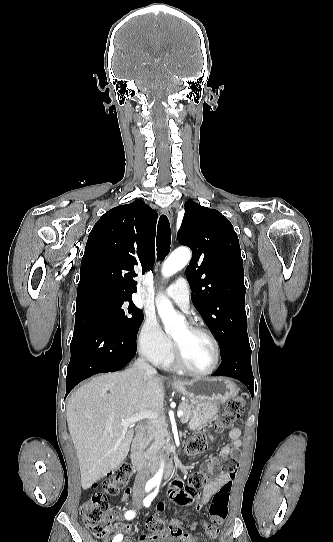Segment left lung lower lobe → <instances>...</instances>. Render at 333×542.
<instances>
[{
	"label": "left lung lower lobe",
	"mask_w": 333,
	"mask_h": 542,
	"mask_svg": "<svg viewBox=\"0 0 333 542\" xmlns=\"http://www.w3.org/2000/svg\"><path fill=\"white\" fill-rule=\"evenodd\" d=\"M222 362L213 376H228L242 382L254 395V379L251 367V348L249 339L236 340L228 349L227 354L221 357Z\"/></svg>",
	"instance_id": "0a47b994"
}]
</instances>
